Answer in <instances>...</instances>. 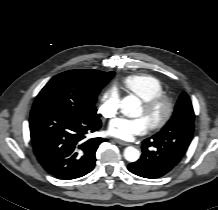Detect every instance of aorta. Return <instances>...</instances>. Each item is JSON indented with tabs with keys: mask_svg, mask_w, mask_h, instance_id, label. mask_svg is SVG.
<instances>
[{
	"mask_svg": "<svg viewBox=\"0 0 218 210\" xmlns=\"http://www.w3.org/2000/svg\"><path fill=\"white\" fill-rule=\"evenodd\" d=\"M140 106V100L134 96L129 95L122 99L120 102L121 112L129 117H136L137 110ZM140 157V151L132 146L125 148L124 158L129 162H135Z\"/></svg>",
	"mask_w": 218,
	"mask_h": 210,
	"instance_id": "obj_1",
	"label": "aorta"
}]
</instances>
